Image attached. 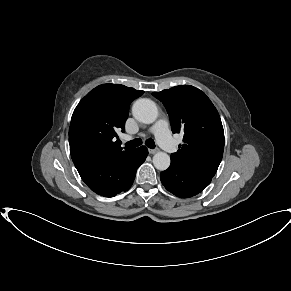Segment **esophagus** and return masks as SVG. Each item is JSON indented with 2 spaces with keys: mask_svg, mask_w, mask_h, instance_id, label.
I'll use <instances>...</instances> for the list:
<instances>
[{
  "mask_svg": "<svg viewBox=\"0 0 291 291\" xmlns=\"http://www.w3.org/2000/svg\"><path fill=\"white\" fill-rule=\"evenodd\" d=\"M148 151L150 154H155L156 152H158V149H149Z\"/></svg>",
  "mask_w": 291,
  "mask_h": 291,
  "instance_id": "obj_1",
  "label": "esophagus"
}]
</instances>
